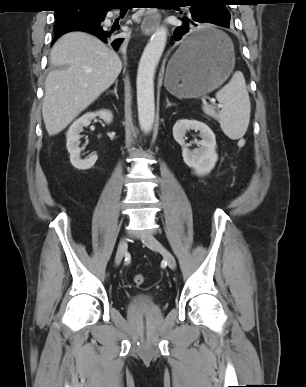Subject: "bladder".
Instances as JSON below:
<instances>
[{
	"instance_id": "bladder-1",
	"label": "bladder",
	"mask_w": 306,
	"mask_h": 387,
	"mask_svg": "<svg viewBox=\"0 0 306 387\" xmlns=\"http://www.w3.org/2000/svg\"><path fill=\"white\" fill-rule=\"evenodd\" d=\"M128 307L130 309H155L158 307V301L149 293H136L130 297Z\"/></svg>"
}]
</instances>
